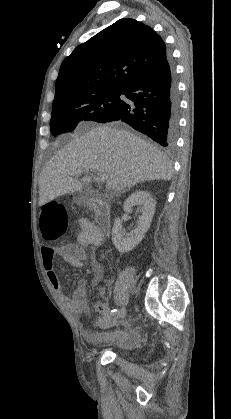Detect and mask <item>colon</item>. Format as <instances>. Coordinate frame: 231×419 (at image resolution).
Instances as JSON below:
<instances>
[{"instance_id":"obj_1","label":"colon","mask_w":231,"mask_h":419,"mask_svg":"<svg viewBox=\"0 0 231 419\" xmlns=\"http://www.w3.org/2000/svg\"><path fill=\"white\" fill-rule=\"evenodd\" d=\"M42 226L52 239L62 234L67 226V214L63 205L48 204L42 213Z\"/></svg>"}]
</instances>
